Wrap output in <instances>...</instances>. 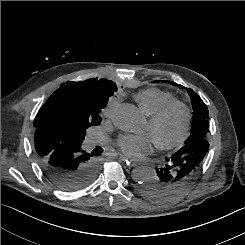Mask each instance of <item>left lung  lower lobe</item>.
<instances>
[{
  "label": "left lung lower lobe",
  "mask_w": 245,
  "mask_h": 245,
  "mask_svg": "<svg viewBox=\"0 0 245 245\" xmlns=\"http://www.w3.org/2000/svg\"><path fill=\"white\" fill-rule=\"evenodd\" d=\"M206 139L186 143L166 159V164L156 169L157 175L140 185V192L147 198L165 202L183 192L198 173L208 151Z\"/></svg>",
  "instance_id": "1"
}]
</instances>
